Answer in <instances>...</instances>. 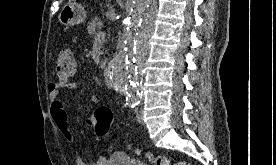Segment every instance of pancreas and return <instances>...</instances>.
Returning a JSON list of instances; mask_svg holds the SVG:
<instances>
[{"label":"pancreas","mask_w":276,"mask_h":165,"mask_svg":"<svg viewBox=\"0 0 276 165\" xmlns=\"http://www.w3.org/2000/svg\"><path fill=\"white\" fill-rule=\"evenodd\" d=\"M103 26V22L100 18L95 17L90 22H88L87 30L88 34L96 39L97 34L100 32ZM106 59L101 62V68L105 66Z\"/></svg>","instance_id":"1"}]
</instances>
